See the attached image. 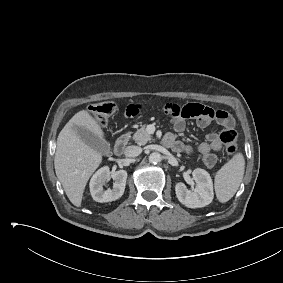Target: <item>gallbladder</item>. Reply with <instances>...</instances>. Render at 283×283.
<instances>
[{
  "instance_id": "bac80fb5",
  "label": "gallbladder",
  "mask_w": 283,
  "mask_h": 283,
  "mask_svg": "<svg viewBox=\"0 0 283 283\" xmlns=\"http://www.w3.org/2000/svg\"><path fill=\"white\" fill-rule=\"evenodd\" d=\"M74 129L82 141L91 148L95 149L101 154L108 155L111 153L110 144L106 140L99 138L93 132L85 128L74 126Z\"/></svg>"
}]
</instances>
